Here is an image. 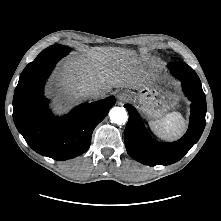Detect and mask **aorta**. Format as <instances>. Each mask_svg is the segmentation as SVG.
I'll use <instances>...</instances> for the list:
<instances>
[{"label": "aorta", "instance_id": "aorta-1", "mask_svg": "<svg viewBox=\"0 0 221 221\" xmlns=\"http://www.w3.org/2000/svg\"><path fill=\"white\" fill-rule=\"evenodd\" d=\"M111 122L122 125L128 120V115L123 107H113L109 112Z\"/></svg>", "mask_w": 221, "mask_h": 221}]
</instances>
